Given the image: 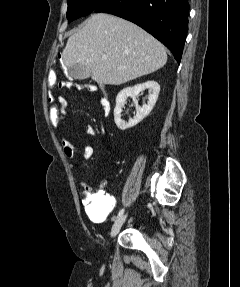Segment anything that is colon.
<instances>
[{
	"label": "colon",
	"mask_w": 240,
	"mask_h": 287,
	"mask_svg": "<svg viewBox=\"0 0 240 287\" xmlns=\"http://www.w3.org/2000/svg\"><path fill=\"white\" fill-rule=\"evenodd\" d=\"M48 115L53 128L62 129L66 119V99L55 90L64 88H78L89 90V85H81L70 81H59L55 70H51L48 75Z\"/></svg>",
	"instance_id": "5ec220e1"
}]
</instances>
